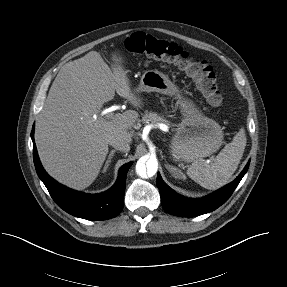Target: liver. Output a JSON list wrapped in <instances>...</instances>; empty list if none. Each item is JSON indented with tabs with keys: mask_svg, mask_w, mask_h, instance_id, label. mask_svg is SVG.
Wrapping results in <instances>:
<instances>
[{
	"mask_svg": "<svg viewBox=\"0 0 287 287\" xmlns=\"http://www.w3.org/2000/svg\"><path fill=\"white\" fill-rule=\"evenodd\" d=\"M111 68L97 51L66 63L58 72L38 115L35 140L46 171L58 182L83 190L97 178L112 137L132 142L138 113L127 110L112 119L100 115L115 92L134 107L142 99L131 90L122 58Z\"/></svg>",
	"mask_w": 287,
	"mask_h": 287,
	"instance_id": "6515ba94",
	"label": "liver"
}]
</instances>
